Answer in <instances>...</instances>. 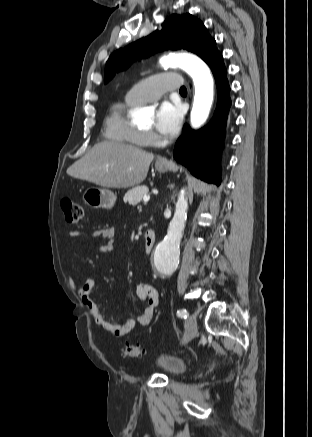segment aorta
Listing matches in <instances>:
<instances>
[{
	"instance_id": "aorta-1",
	"label": "aorta",
	"mask_w": 312,
	"mask_h": 437,
	"mask_svg": "<svg viewBox=\"0 0 312 437\" xmlns=\"http://www.w3.org/2000/svg\"><path fill=\"white\" fill-rule=\"evenodd\" d=\"M164 68L181 67L193 79L195 95L190 115L191 126L199 128L206 121L213 102V78L208 66L190 54H169L160 59ZM188 202L184 191L178 195L174 216L167 235L155 250L154 262L160 274H171L179 263V244L185 228Z\"/></svg>"
}]
</instances>
